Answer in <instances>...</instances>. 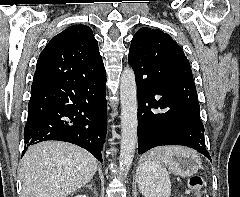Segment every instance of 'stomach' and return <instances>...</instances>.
<instances>
[{"label":"stomach","mask_w":240,"mask_h":197,"mask_svg":"<svg viewBox=\"0 0 240 197\" xmlns=\"http://www.w3.org/2000/svg\"><path fill=\"white\" fill-rule=\"evenodd\" d=\"M149 159H151V156L147 158V160ZM167 166L175 175L182 176V177H190L196 174L198 170L201 168V161L198 154L193 151V153L175 155L173 157V160L169 162ZM142 183L143 181L140 179V176H139L140 189H141Z\"/></svg>","instance_id":"stomach-1"}]
</instances>
